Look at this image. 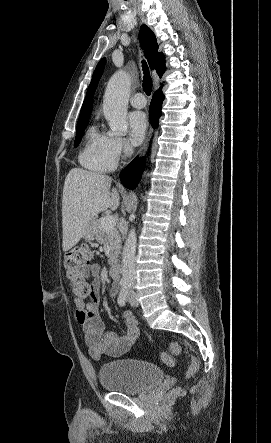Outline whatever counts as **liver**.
<instances>
[{
	"mask_svg": "<svg viewBox=\"0 0 271 443\" xmlns=\"http://www.w3.org/2000/svg\"><path fill=\"white\" fill-rule=\"evenodd\" d=\"M112 178L73 168L67 174L62 198L63 251L74 247L83 237L89 223L108 208L114 212L120 204Z\"/></svg>",
	"mask_w": 271,
	"mask_h": 443,
	"instance_id": "1",
	"label": "liver"
}]
</instances>
